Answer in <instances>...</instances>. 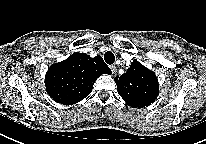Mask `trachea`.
<instances>
[{
    "label": "trachea",
    "mask_w": 206,
    "mask_h": 144,
    "mask_svg": "<svg viewBox=\"0 0 206 144\" xmlns=\"http://www.w3.org/2000/svg\"><path fill=\"white\" fill-rule=\"evenodd\" d=\"M104 60L107 64L111 65L115 61V56L112 52L108 51L104 54Z\"/></svg>",
    "instance_id": "3493384b"
}]
</instances>
